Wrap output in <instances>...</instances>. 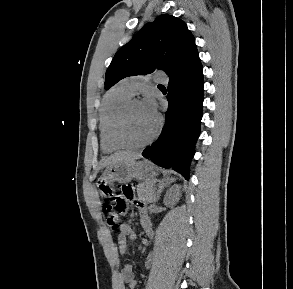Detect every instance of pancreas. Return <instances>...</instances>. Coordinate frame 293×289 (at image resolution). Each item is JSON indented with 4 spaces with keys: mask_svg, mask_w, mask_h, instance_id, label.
<instances>
[{
    "mask_svg": "<svg viewBox=\"0 0 293 289\" xmlns=\"http://www.w3.org/2000/svg\"><path fill=\"white\" fill-rule=\"evenodd\" d=\"M138 197L145 202L156 201L155 188L152 182H142L137 185Z\"/></svg>",
    "mask_w": 293,
    "mask_h": 289,
    "instance_id": "1",
    "label": "pancreas"
}]
</instances>
